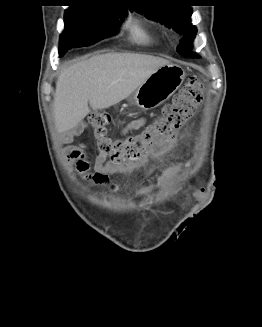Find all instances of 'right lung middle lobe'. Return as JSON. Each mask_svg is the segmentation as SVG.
<instances>
[{
    "label": "right lung middle lobe",
    "instance_id": "1",
    "mask_svg": "<svg viewBox=\"0 0 262 327\" xmlns=\"http://www.w3.org/2000/svg\"><path fill=\"white\" fill-rule=\"evenodd\" d=\"M126 12L110 8L73 6L65 11L64 31L60 36L59 56L73 47L91 44L118 32Z\"/></svg>",
    "mask_w": 262,
    "mask_h": 327
}]
</instances>
